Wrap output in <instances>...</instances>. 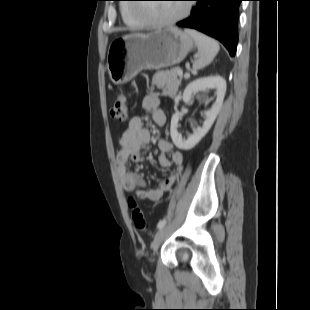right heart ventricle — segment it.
<instances>
[{
  "label": "right heart ventricle",
  "instance_id": "obj_1",
  "mask_svg": "<svg viewBox=\"0 0 310 310\" xmlns=\"http://www.w3.org/2000/svg\"><path fill=\"white\" fill-rule=\"evenodd\" d=\"M120 13H121L123 22L129 28L140 29L146 26L142 20L137 19L136 17L133 16L131 5L123 3L120 7Z\"/></svg>",
  "mask_w": 310,
  "mask_h": 310
}]
</instances>
